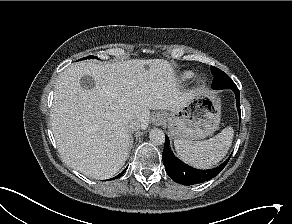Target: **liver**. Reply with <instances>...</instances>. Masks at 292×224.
I'll return each mask as SVG.
<instances>
[{"label": "liver", "mask_w": 292, "mask_h": 224, "mask_svg": "<svg viewBox=\"0 0 292 224\" xmlns=\"http://www.w3.org/2000/svg\"><path fill=\"white\" fill-rule=\"evenodd\" d=\"M85 75L93 78V88L81 86ZM194 95L195 91L180 90L167 60L72 64L54 87L51 127L59 153L89 178H110L129 156L127 119L136 120L145 130L150 110H180Z\"/></svg>", "instance_id": "obj_1"}]
</instances>
